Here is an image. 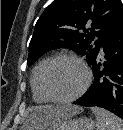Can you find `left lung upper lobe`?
Segmentation results:
<instances>
[{"mask_svg":"<svg viewBox=\"0 0 123 130\" xmlns=\"http://www.w3.org/2000/svg\"><path fill=\"white\" fill-rule=\"evenodd\" d=\"M122 18L120 0H54L36 23L27 64L60 47L86 56L91 64Z\"/></svg>","mask_w":123,"mask_h":130,"instance_id":"left-lung-upper-lobe-1","label":"left lung upper lobe"}]
</instances>
